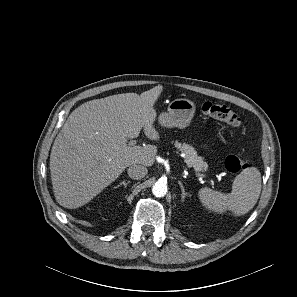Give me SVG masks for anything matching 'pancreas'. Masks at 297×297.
Here are the masks:
<instances>
[{
  "instance_id": "pancreas-1",
  "label": "pancreas",
  "mask_w": 297,
  "mask_h": 297,
  "mask_svg": "<svg viewBox=\"0 0 297 297\" xmlns=\"http://www.w3.org/2000/svg\"><path fill=\"white\" fill-rule=\"evenodd\" d=\"M175 147L185 154V162L189 167H193L196 171L207 170L208 164L203 161L202 157L197 155V152L193 146L176 141Z\"/></svg>"
}]
</instances>
